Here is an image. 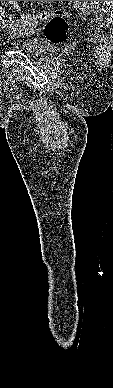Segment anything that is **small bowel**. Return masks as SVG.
<instances>
[{"instance_id":"c3829d8e","label":"small bowel","mask_w":113,"mask_h":388,"mask_svg":"<svg viewBox=\"0 0 113 388\" xmlns=\"http://www.w3.org/2000/svg\"><path fill=\"white\" fill-rule=\"evenodd\" d=\"M10 4H12L15 8H21V2L20 1H9ZM25 18L22 17L21 22H24Z\"/></svg>"}]
</instances>
